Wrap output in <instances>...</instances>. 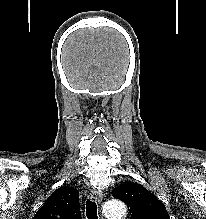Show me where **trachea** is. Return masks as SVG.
Listing matches in <instances>:
<instances>
[{
	"instance_id": "1",
	"label": "trachea",
	"mask_w": 206,
	"mask_h": 219,
	"mask_svg": "<svg viewBox=\"0 0 206 219\" xmlns=\"http://www.w3.org/2000/svg\"><path fill=\"white\" fill-rule=\"evenodd\" d=\"M86 215L88 219H98L97 205L95 201L87 200L86 202Z\"/></svg>"
}]
</instances>
